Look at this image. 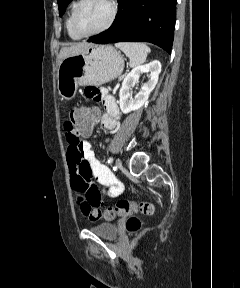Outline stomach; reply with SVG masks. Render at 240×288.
<instances>
[{"label": "stomach", "instance_id": "stomach-1", "mask_svg": "<svg viewBox=\"0 0 240 288\" xmlns=\"http://www.w3.org/2000/svg\"><path fill=\"white\" fill-rule=\"evenodd\" d=\"M124 60L111 45L91 44L63 59L57 72V89L64 100L75 97L78 86H99L119 77Z\"/></svg>", "mask_w": 240, "mask_h": 288}]
</instances>
